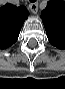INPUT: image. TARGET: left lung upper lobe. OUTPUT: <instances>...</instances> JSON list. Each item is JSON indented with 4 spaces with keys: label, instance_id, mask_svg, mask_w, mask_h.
Wrapping results in <instances>:
<instances>
[{
    "label": "left lung upper lobe",
    "instance_id": "obj_1",
    "mask_svg": "<svg viewBox=\"0 0 65 89\" xmlns=\"http://www.w3.org/2000/svg\"><path fill=\"white\" fill-rule=\"evenodd\" d=\"M41 19L49 42L59 49H65V2L50 0L41 12Z\"/></svg>",
    "mask_w": 65,
    "mask_h": 89
}]
</instances>
